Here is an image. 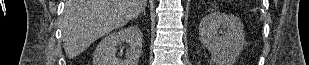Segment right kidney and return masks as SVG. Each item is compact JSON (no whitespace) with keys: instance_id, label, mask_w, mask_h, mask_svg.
Returning <instances> with one entry per match:
<instances>
[{"instance_id":"obj_1","label":"right kidney","mask_w":309,"mask_h":65,"mask_svg":"<svg viewBox=\"0 0 309 65\" xmlns=\"http://www.w3.org/2000/svg\"><path fill=\"white\" fill-rule=\"evenodd\" d=\"M143 35L137 26H129L104 37L93 55L94 65H137L142 53ZM126 43L125 58L116 57L117 46Z\"/></svg>"}]
</instances>
